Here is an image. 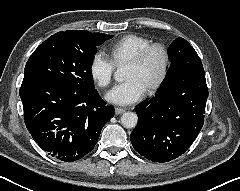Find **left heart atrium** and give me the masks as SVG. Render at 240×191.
<instances>
[{"mask_svg": "<svg viewBox=\"0 0 240 191\" xmlns=\"http://www.w3.org/2000/svg\"><path fill=\"white\" fill-rule=\"evenodd\" d=\"M146 92L145 86L137 78H128L116 85L106 95V99L112 103L126 105L137 102Z\"/></svg>", "mask_w": 240, "mask_h": 191, "instance_id": "1", "label": "left heart atrium"}]
</instances>
